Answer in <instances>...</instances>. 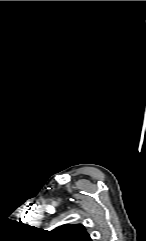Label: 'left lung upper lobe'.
I'll use <instances>...</instances> for the list:
<instances>
[{"label": "left lung upper lobe", "instance_id": "obj_1", "mask_svg": "<svg viewBox=\"0 0 146 241\" xmlns=\"http://www.w3.org/2000/svg\"><path fill=\"white\" fill-rule=\"evenodd\" d=\"M53 241H92L81 224H65L49 232Z\"/></svg>", "mask_w": 146, "mask_h": 241}]
</instances>
